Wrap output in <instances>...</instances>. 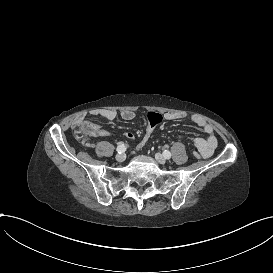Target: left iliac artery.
<instances>
[{
	"mask_svg": "<svg viewBox=\"0 0 273 273\" xmlns=\"http://www.w3.org/2000/svg\"><path fill=\"white\" fill-rule=\"evenodd\" d=\"M163 156H164L166 159H169V158L171 157V153H170L169 151L165 150V151L163 152Z\"/></svg>",
	"mask_w": 273,
	"mask_h": 273,
	"instance_id": "44dca946",
	"label": "left iliac artery"
}]
</instances>
